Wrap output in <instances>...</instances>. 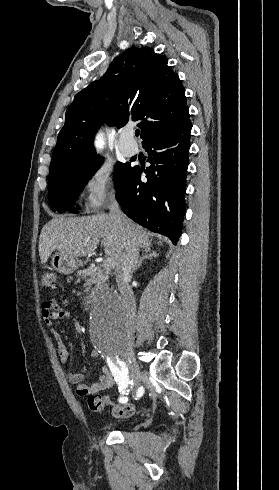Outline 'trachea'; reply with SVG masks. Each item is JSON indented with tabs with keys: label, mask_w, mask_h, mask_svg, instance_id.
Here are the masks:
<instances>
[{
	"label": "trachea",
	"mask_w": 279,
	"mask_h": 490,
	"mask_svg": "<svg viewBox=\"0 0 279 490\" xmlns=\"http://www.w3.org/2000/svg\"><path fill=\"white\" fill-rule=\"evenodd\" d=\"M139 134H140V130H138V129H137V130H135V135H136V137H138V136H139Z\"/></svg>",
	"instance_id": "trachea-1"
}]
</instances>
